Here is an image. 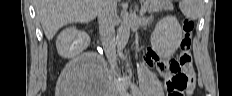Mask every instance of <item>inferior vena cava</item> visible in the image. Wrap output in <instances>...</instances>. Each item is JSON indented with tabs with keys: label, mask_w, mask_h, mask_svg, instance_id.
I'll return each instance as SVG.
<instances>
[{
	"label": "inferior vena cava",
	"mask_w": 232,
	"mask_h": 96,
	"mask_svg": "<svg viewBox=\"0 0 232 96\" xmlns=\"http://www.w3.org/2000/svg\"><path fill=\"white\" fill-rule=\"evenodd\" d=\"M116 0H100L98 10L99 33L103 48L109 59L115 57V28Z\"/></svg>",
	"instance_id": "1"
}]
</instances>
